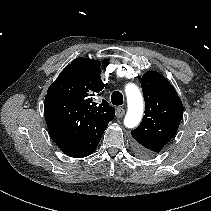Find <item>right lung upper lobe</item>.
<instances>
[{
	"mask_svg": "<svg viewBox=\"0 0 211 211\" xmlns=\"http://www.w3.org/2000/svg\"><path fill=\"white\" fill-rule=\"evenodd\" d=\"M100 62L77 58L66 66L55 82L49 87L47 94H54L73 99L78 104L77 127H107L115 116V109L107 101L101 104L94 101V96L105 87L100 78ZM59 141L66 137L60 135Z\"/></svg>",
	"mask_w": 211,
	"mask_h": 211,
	"instance_id": "cb5924a9",
	"label": "right lung upper lobe"
}]
</instances>
